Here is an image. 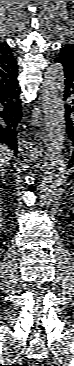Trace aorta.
Segmentation results:
<instances>
[{
    "instance_id": "aorta-1",
    "label": "aorta",
    "mask_w": 74,
    "mask_h": 366,
    "mask_svg": "<svg viewBox=\"0 0 74 366\" xmlns=\"http://www.w3.org/2000/svg\"><path fill=\"white\" fill-rule=\"evenodd\" d=\"M64 69L62 64H53L46 72L42 83L41 99L44 125L50 141L47 163L38 187L43 204L54 202L64 185L66 162L62 154L66 140L64 94Z\"/></svg>"
}]
</instances>
